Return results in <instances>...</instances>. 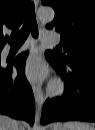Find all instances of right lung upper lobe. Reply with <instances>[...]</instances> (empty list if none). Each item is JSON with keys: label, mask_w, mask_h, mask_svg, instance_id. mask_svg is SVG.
I'll return each instance as SVG.
<instances>
[{"label": "right lung upper lobe", "mask_w": 95, "mask_h": 130, "mask_svg": "<svg viewBox=\"0 0 95 130\" xmlns=\"http://www.w3.org/2000/svg\"><path fill=\"white\" fill-rule=\"evenodd\" d=\"M30 0H0V52L6 43L5 32H18Z\"/></svg>", "instance_id": "cb5924a9"}]
</instances>
